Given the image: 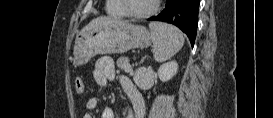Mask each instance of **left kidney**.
<instances>
[{"label": "left kidney", "instance_id": "left-kidney-1", "mask_svg": "<svg viewBox=\"0 0 273 118\" xmlns=\"http://www.w3.org/2000/svg\"><path fill=\"white\" fill-rule=\"evenodd\" d=\"M177 70L178 64L176 61L167 62L158 69V77L162 82H167L177 74Z\"/></svg>", "mask_w": 273, "mask_h": 118}]
</instances>
